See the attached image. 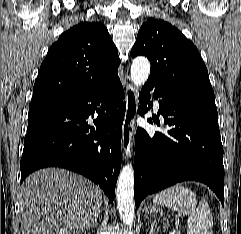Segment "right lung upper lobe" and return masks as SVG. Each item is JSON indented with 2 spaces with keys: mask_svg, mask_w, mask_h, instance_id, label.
Wrapping results in <instances>:
<instances>
[{
  "mask_svg": "<svg viewBox=\"0 0 241 234\" xmlns=\"http://www.w3.org/2000/svg\"><path fill=\"white\" fill-rule=\"evenodd\" d=\"M120 60L100 22H82L62 33L41 64L29 106L88 94L117 76Z\"/></svg>",
  "mask_w": 241,
  "mask_h": 234,
  "instance_id": "cb5924a9",
  "label": "right lung upper lobe"
}]
</instances>
